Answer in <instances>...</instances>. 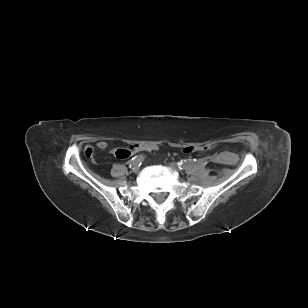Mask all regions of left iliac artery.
<instances>
[{"label":"left iliac artery","mask_w":308,"mask_h":308,"mask_svg":"<svg viewBox=\"0 0 308 308\" xmlns=\"http://www.w3.org/2000/svg\"><path fill=\"white\" fill-rule=\"evenodd\" d=\"M196 163L198 165H201L203 163L205 167H208L212 163V160L210 158H206L205 156H202L201 158H198L197 160L196 159L183 160L179 162L178 165L180 169H186V168H192L196 166Z\"/></svg>","instance_id":"44dca946"}]
</instances>
